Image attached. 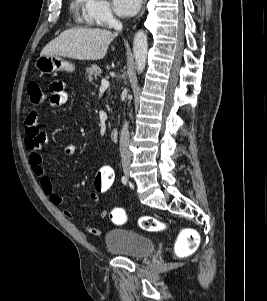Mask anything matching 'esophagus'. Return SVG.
Wrapping results in <instances>:
<instances>
[{
  "instance_id": "1",
  "label": "esophagus",
  "mask_w": 267,
  "mask_h": 301,
  "mask_svg": "<svg viewBox=\"0 0 267 301\" xmlns=\"http://www.w3.org/2000/svg\"><path fill=\"white\" fill-rule=\"evenodd\" d=\"M143 13H144V8L142 9V11H141V13H140V15H139V16H141Z\"/></svg>"
}]
</instances>
